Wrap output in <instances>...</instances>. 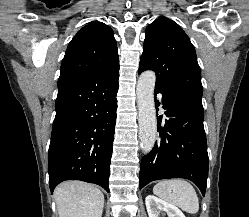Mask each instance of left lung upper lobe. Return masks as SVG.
<instances>
[{
	"instance_id": "left-lung-upper-lobe-1",
	"label": "left lung upper lobe",
	"mask_w": 249,
	"mask_h": 217,
	"mask_svg": "<svg viewBox=\"0 0 249 217\" xmlns=\"http://www.w3.org/2000/svg\"><path fill=\"white\" fill-rule=\"evenodd\" d=\"M148 69L156 73V87L202 98L201 71L194 46L182 28L164 16L146 28L138 72Z\"/></svg>"
}]
</instances>
